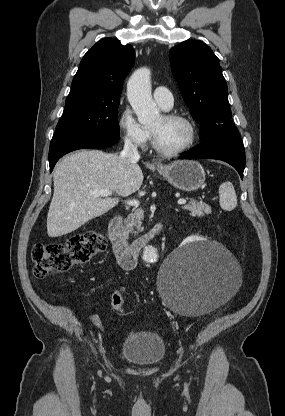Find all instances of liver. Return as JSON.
I'll return each mask as SVG.
<instances>
[{"label":"liver","mask_w":285,"mask_h":416,"mask_svg":"<svg viewBox=\"0 0 285 416\" xmlns=\"http://www.w3.org/2000/svg\"><path fill=\"white\" fill-rule=\"evenodd\" d=\"M140 166H126L118 154L78 150L66 156L53 174L54 194L47 216L50 238L65 236L115 208L119 198L91 196V190H112L130 196L142 186Z\"/></svg>","instance_id":"1"}]
</instances>
